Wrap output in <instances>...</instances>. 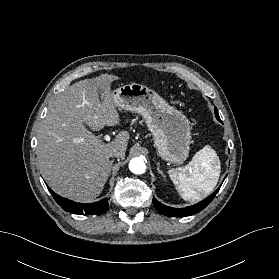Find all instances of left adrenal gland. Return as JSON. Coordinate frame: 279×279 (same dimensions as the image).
I'll return each instance as SVG.
<instances>
[{"label":"left adrenal gland","mask_w":279,"mask_h":279,"mask_svg":"<svg viewBox=\"0 0 279 279\" xmlns=\"http://www.w3.org/2000/svg\"><path fill=\"white\" fill-rule=\"evenodd\" d=\"M159 165H160V163L158 162V163H157V171H158L159 174H161V176H162L163 178H165V175H164L163 172L160 170Z\"/></svg>","instance_id":"obj_1"}]
</instances>
